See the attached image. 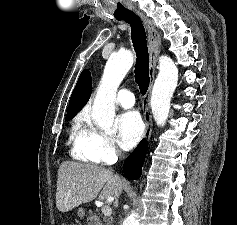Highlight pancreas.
<instances>
[{"label": "pancreas", "mask_w": 237, "mask_h": 225, "mask_svg": "<svg viewBox=\"0 0 237 225\" xmlns=\"http://www.w3.org/2000/svg\"><path fill=\"white\" fill-rule=\"evenodd\" d=\"M103 221L105 222V225H112V221L109 218L103 217Z\"/></svg>", "instance_id": "obj_1"}]
</instances>
